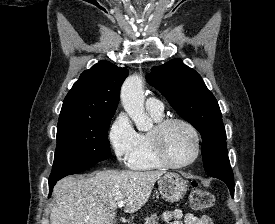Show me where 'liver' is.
<instances>
[{"label": "liver", "mask_w": 275, "mask_h": 224, "mask_svg": "<svg viewBox=\"0 0 275 224\" xmlns=\"http://www.w3.org/2000/svg\"><path fill=\"white\" fill-rule=\"evenodd\" d=\"M164 171L97 172L89 178L65 177L53 189L50 224H113L119 201L134 213L148 201Z\"/></svg>", "instance_id": "obj_1"}]
</instances>
